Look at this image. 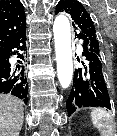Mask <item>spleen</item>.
Wrapping results in <instances>:
<instances>
[{"instance_id":"3e777b00","label":"spleen","mask_w":117,"mask_h":136,"mask_svg":"<svg viewBox=\"0 0 117 136\" xmlns=\"http://www.w3.org/2000/svg\"><path fill=\"white\" fill-rule=\"evenodd\" d=\"M93 125L101 132L102 136H112L114 125L111 115L102 108H95L91 112Z\"/></svg>"}]
</instances>
